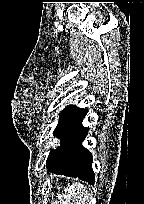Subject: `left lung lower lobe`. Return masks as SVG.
<instances>
[{
	"label": "left lung lower lobe",
	"instance_id": "1",
	"mask_svg": "<svg viewBox=\"0 0 144 204\" xmlns=\"http://www.w3.org/2000/svg\"><path fill=\"white\" fill-rule=\"evenodd\" d=\"M86 113V109H76L69 123L65 139L58 148L51 150L46 166L49 171L55 174L78 177L94 184L92 155L82 146V142L88 133V129L82 125V119Z\"/></svg>",
	"mask_w": 144,
	"mask_h": 204
}]
</instances>
